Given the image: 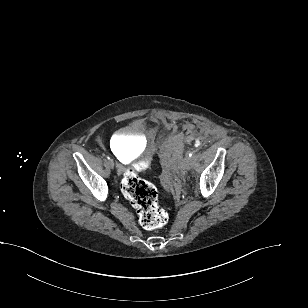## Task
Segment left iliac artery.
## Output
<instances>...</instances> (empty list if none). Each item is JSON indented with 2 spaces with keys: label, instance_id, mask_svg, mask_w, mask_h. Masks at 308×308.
Segmentation results:
<instances>
[{
  "label": "left iliac artery",
  "instance_id": "44dca946",
  "mask_svg": "<svg viewBox=\"0 0 308 308\" xmlns=\"http://www.w3.org/2000/svg\"><path fill=\"white\" fill-rule=\"evenodd\" d=\"M193 154H194V152H189L188 156L191 157V156H193Z\"/></svg>",
  "mask_w": 308,
  "mask_h": 308
}]
</instances>
